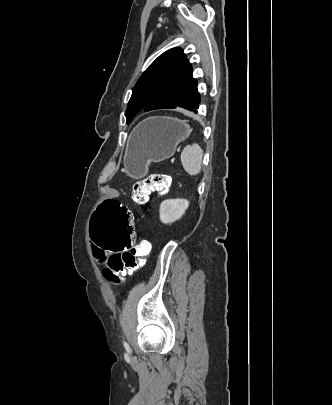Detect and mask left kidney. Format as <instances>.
Returning <instances> with one entry per match:
<instances>
[{"label": "left kidney", "instance_id": "obj_1", "mask_svg": "<svg viewBox=\"0 0 332 405\" xmlns=\"http://www.w3.org/2000/svg\"><path fill=\"white\" fill-rule=\"evenodd\" d=\"M189 207V201L185 199H167L160 205V220L164 224L179 220Z\"/></svg>", "mask_w": 332, "mask_h": 405}]
</instances>
